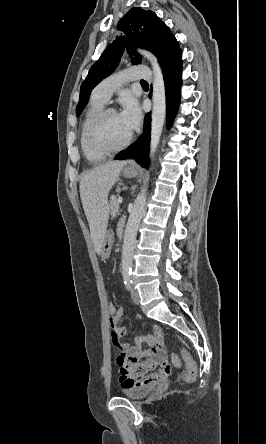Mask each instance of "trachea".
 <instances>
[{"mask_svg":"<svg viewBox=\"0 0 266 444\" xmlns=\"http://www.w3.org/2000/svg\"><path fill=\"white\" fill-rule=\"evenodd\" d=\"M140 82H141V83H147L145 80H141Z\"/></svg>","mask_w":266,"mask_h":444,"instance_id":"3493384b","label":"trachea"}]
</instances>
